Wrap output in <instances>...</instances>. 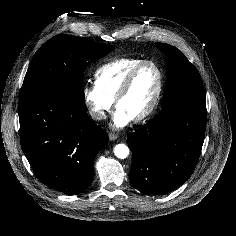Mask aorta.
Segmentation results:
<instances>
[{"label":"aorta","mask_w":236,"mask_h":236,"mask_svg":"<svg viewBox=\"0 0 236 236\" xmlns=\"http://www.w3.org/2000/svg\"><path fill=\"white\" fill-rule=\"evenodd\" d=\"M114 154L120 159H124L129 155V148L125 144H117L114 148Z\"/></svg>","instance_id":"obj_1"}]
</instances>
